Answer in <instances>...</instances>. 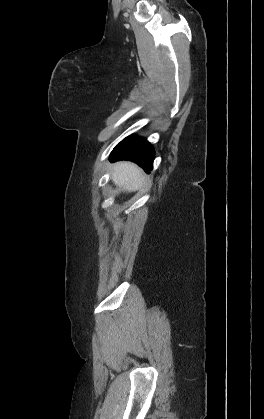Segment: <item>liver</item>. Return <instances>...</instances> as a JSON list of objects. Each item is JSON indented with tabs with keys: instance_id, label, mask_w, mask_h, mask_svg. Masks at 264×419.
<instances>
[{
	"instance_id": "liver-1",
	"label": "liver",
	"mask_w": 264,
	"mask_h": 419,
	"mask_svg": "<svg viewBox=\"0 0 264 419\" xmlns=\"http://www.w3.org/2000/svg\"><path fill=\"white\" fill-rule=\"evenodd\" d=\"M141 169L131 162H118L113 166V182L127 191H136L143 182Z\"/></svg>"
}]
</instances>
